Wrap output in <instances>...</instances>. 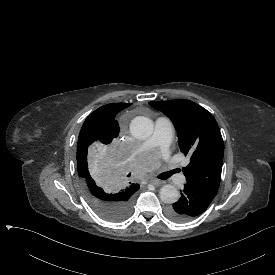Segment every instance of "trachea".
Here are the masks:
<instances>
[{
  "label": "trachea",
  "instance_id": "obj_1",
  "mask_svg": "<svg viewBox=\"0 0 275 275\" xmlns=\"http://www.w3.org/2000/svg\"><path fill=\"white\" fill-rule=\"evenodd\" d=\"M177 173V170H171V171H168V172H165V173H162L159 178L162 179V180H166L168 179L169 177H171L173 174ZM128 177L130 176V173L127 175Z\"/></svg>",
  "mask_w": 275,
  "mask_h": 275
}]
</instances>
